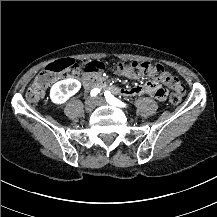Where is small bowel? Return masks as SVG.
<instances>
[{
  "label": "small bowel",
  "instance_id": "obj_1",
  "mask_svg": "<svg viewBox=\"0 0 217 217\" xmlns=\"http://www.w3.org/2000/svg\"><path fill=\"white\" fill-rule=\"evenodd\" d=\"M77 73L78 70L75 69L71 72H68L65 76H74ZM126 90H129V92L127 93ZM116 91L118 94L123 96H135V95L147 94L156 99H162L164 96V90L160 89L157 85H155L152 82L143 85H136L127 89L119 87L116 89Z\"/></svg>",
  "mask_w": 217,
  "mask_h": 217
}]
</instances>
